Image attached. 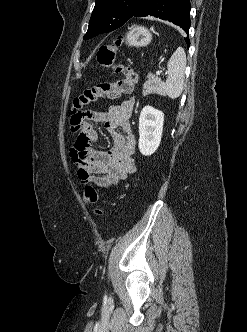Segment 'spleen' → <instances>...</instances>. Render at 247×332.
I'll return each mask as SVG.
<instances>
[{
    "instance_id": "spleen-1",
    "label": "spleen",
    "mask_w": 247,
    "mask_h": 332,
    "mask_svg": "<svg viewBox=\"0 0 247 332\" xmlns=\"http://www.w3.org/2000/svg\"><path fill=\"white\" fill-rule=\"evenodd\" d=\"M185 67V51L183 48L178 47L167 63L168 77L166 82L159 84L157 93L168 96L171 99L178 98L183 91Z\"/></svg>"
}]
</instances>
